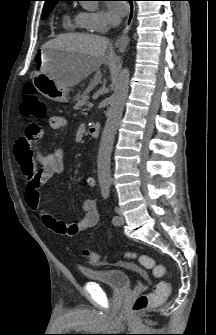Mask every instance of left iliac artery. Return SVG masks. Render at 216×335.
<instances>
[{"label": "left iliac artery", "instance_id": "44dca946", "mask_svg": "<svg viewBox=\"0 0 216 335\" xmlns=\"http://www.w3.org/2000/svg\"><path fill=\"white\" fill-rule=\"evenodd\" d=\"M110 183L101 184V192L104 199H108L110 196ZM118 221V216H113L112 222L116 223Z\"/></svg>", "mask_w": 216, "mask_h": 335}]
</instances>
